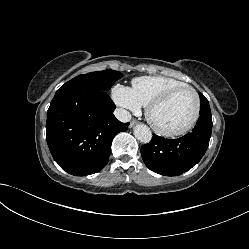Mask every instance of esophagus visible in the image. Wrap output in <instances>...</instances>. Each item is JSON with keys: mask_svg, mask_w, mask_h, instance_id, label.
Wrapping results in <instances>:
<instances>
[{"mask_svg": "<svg viewBox=\"0 0 249 249\" xmlns=\"http://www.w3.org/2000/svg\"><path fill=\"white\" fill-rule=\"evenodd\" d=\"M137 124V121L136 120H132L131 122H130V128H132V127H134L135 125Z\"/></svg>", "mask_w": 249, "mask_h": 249, "instance_id": "1", "label": "esophagus"}]
</instances>
